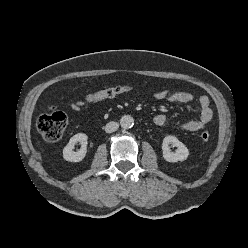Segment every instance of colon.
<instances>
[{
	"mask_svg": "<svg viewBox=\"0 0 248 248\" xmlns=\"http://www.w3.org/2000/svg\"><path fill=\"white\" fill-rule=\"evenodd\" d=\"M131 87L128 85H112L98 89L85 95L84 101L88 103L101 102L115 98L116 96L128 92ZM67 126V117L63 112L56 111L40 116L37 120V130L46 141L59 140ZM210 134L207 131L201 133V139L207 142Z\"/></svg>",
	"mask_w": 248,
	"mask_h": 248,
	"instance_id": "1",
	"label": "colon"
}]
</instances>
